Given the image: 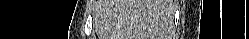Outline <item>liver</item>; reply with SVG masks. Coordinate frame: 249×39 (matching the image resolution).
Instances as JSON below:
<instances>
[{
	"label": "liver",
	"mask_w": 249,
	"mask_h": 39,
	"mask_svg": "<svg viewBox=\"0 0 249 39\" xmlns=\"http://www.w3.org/2000/svg\"><path fill=\"white\" fill-rule=\"evenodd\" d=\"M171 0H103L97 8L99 39H164Z\"/></svg>",
	"instance_id": "6515ba94"
}]
</instances>
